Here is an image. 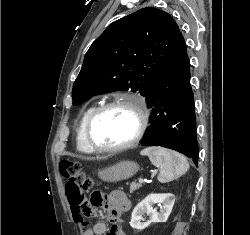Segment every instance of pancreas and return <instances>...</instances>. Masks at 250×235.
I'll return each mask as SVG.
<instances>
[{
  "label": "pancreas",
  "instance_id": "cf45deb5",
  "mask_svg": "<svg viewBox=\"0 0 250 235\" xmlns=\"http://www.w3.org/2000/svg\"><path fill=\"white\" fill-rule=\"evenodd\" d=\"M142 185L138 183H132L130 185V192L133 193L135 190L139 189Z\"/></svg>",
  "mask_w": 250,
  "mask_h": 235
}]
</instances>
